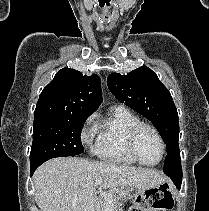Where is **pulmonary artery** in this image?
I'll use <instances>...</instances> for the list:
<instances>
[{"mask_svg":"<svg viewBox=\"0 0 209 211\" xmlns=\"http://www.w3.org/2000/svg\"><path fill=\"white\" fill-rule=\"evenodd\" d=\"M116 108H120V109H121V108H124V107H122V106H117Z\"/></svg>","mask_w":209,"mask_h":211,"instance_id":"pulmonary-artery-1","label":"pulmonary artery"}]
</instances>
